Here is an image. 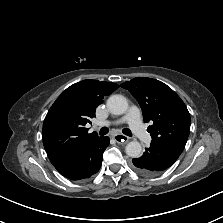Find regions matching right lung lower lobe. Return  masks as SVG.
<instances>
[{
	"label": "right lung lower lobe",
	"instance_id": "98d812e1",
	"mask_svg": "<svg viewBox=\"0 0 223 223\" xmlns=\"http://www.w3.org/2000/svg\"><path fill=\"white\" fill-rule=\"evenodd\" d=\"M109 137H100L83 151L53 164L60 174L71 180L87 179L97 173L102 165L103 152Z\"/></svg>",
	"mask_w": 223,
	"mask_h": 223
}]
</instances>
